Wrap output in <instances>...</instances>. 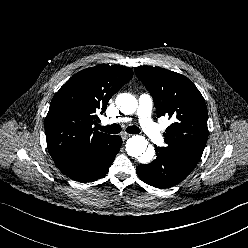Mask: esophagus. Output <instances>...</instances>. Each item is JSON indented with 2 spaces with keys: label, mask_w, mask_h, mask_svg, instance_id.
Instances as JSON below:
<instances>
[{
  "label": "esophagus",
  "mask_w": 248,
  "mask_h": 248,
  "mask_svg": "<svg viewBox=\"0 0 248 248\" xmlns=\"http://www.w3.org/2000/svg\"><path fill=\"white\" fill-rule=\"evenodd\" d=\"M121 136H122V138L124 139V140H126L127 138H129L130 136H131V134H128V133H122L121 134Z\"/></svg>",
  "instance_id": "obj_1"
}]
</instances>
